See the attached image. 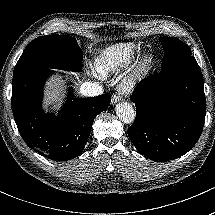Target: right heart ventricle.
<instances>
[{
  "instance_id": "right-heart-ventricle-1",
  "label": "right heart ventricle",
  "mask_w": 215,
  "mask_h": 215,
  "mask_svg": "<svg viewBox=\"0 0 215 215\" xmlns=\"http://www.w3.org/2000/svg\"><path fill=\"white\" fill-rule=\"evenodd\" d=\"M137 51V45L123 42L110 45L96 54L90 66L95 76L106 78L126 66Z\"/></svg>"
}]
</instances>
